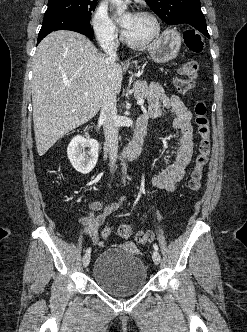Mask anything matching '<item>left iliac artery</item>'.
I'll list each match as a JSON object with an SVG mask.
<instances>
[{"label":"left iliac artery","mask_w":247,"mask_h":332,"mask_svg":"<svg viewBox=\"0 0 247 332\" xmlns=\"http://www.w3.org/2000/svg\"><path fill=\"white\" fill-rule=\"evenodd\" d=\"M154 250L158 251V245L156 243L153 244Z\"/></svg>","instance_id":"1"}]
</instances>
